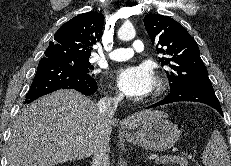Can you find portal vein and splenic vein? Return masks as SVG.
Returning <instances> with one entry per match:
<instances>
[{
    "mask_svg": "<svg viewBox=\"0 0 231 166\" xmlns=\"http://www.w3.org/2000/svg\"><path fill=\"white\" fill-rule=\"evenodd\" d=\"M167 157H170L171 159H176V161L179 164H181L182 166H187V163H188L187 159L184 158V157H180V156H173V155L172 156H167V155H165V156H161V157H158V156L150 157V159L158 161V160H160L162 158H167Z\"/></svg>",
    "mask_w": 231,
    "mask_h": 166,
    "instance_id": "1",
    "label": "portal vein and splenic vein"
}]
</instances>
